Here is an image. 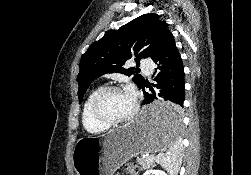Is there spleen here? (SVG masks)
<instances>
[{
  "label": "spleen",
  "mask_w": 251,
  "mask_h": 175,
  "mask_svg": "<svg viewBox=\"0 0 251 175\" xmlns=\"http://www.w3.org/2000/svg\"><path fill=\"white\" fill-rule=\"evenodd\" d=\"M180 107H172L169 115L164 119L163 131L167 137L169 149L167 153H158L157 163H161L170 175H178L182 163V143L179 135V123L181 121Z\"/></svg>",
  "instance_id": "obj_1"
}]
</instances>
